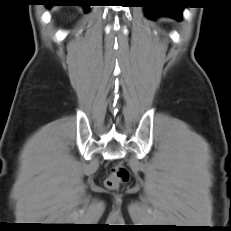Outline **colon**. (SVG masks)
Returning a JSON list of instances; mask_svg holds the SVG:
<instances>
[{
    "mask_svg": "<svg viewBox=\"0 0 231 231\" xmlns=\"http://www.w3.org/2000/svg\"><path fill=\"white\" fill-rule=\"evenodd\" d=\"M129 179V171L122 165L112 168L110 175L105 180V186L109 189H117Z\"/></svg>",
    "mask_w": 231,
    "mask_h": 231,
    "instance_id": "obj_1",
    "label": "colon"
}]
</instances>
